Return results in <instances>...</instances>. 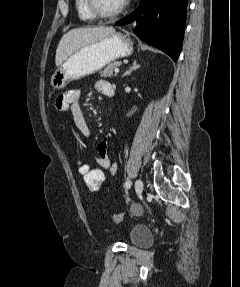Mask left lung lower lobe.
Wrapping results in <instances>:
<instances>
[{"instance_id": "obj_1", "label": "left lung lower lobe", "mask_w": 240, "mask_h": 287, "mask_svg": "<svg viewBox=\"0 0 240 287\" xmlns=\"http://www.w3.org/2000/svg\"><path fill=\"white\" fill-rule=\"evenodd\" d=\"M188 0H141L139 7L116 22L136 21L134 33L177 61L182 47Z\"/></svg>"}]
</instances>
